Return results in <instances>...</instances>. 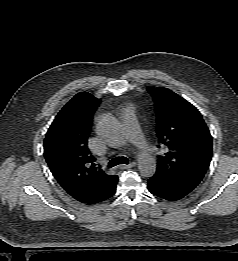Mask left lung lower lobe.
Here are the masks:
<instances>
[{"label": "left lung lower lobe", "instance_id": "1", "mask_svg": "<svg viewBox=\"0 0 238 261\" xmlns=\"http://www.w3.org/2000/svg\"><path fill=\"white\" fill-rule=\"evenodd\" d=\"M148 190L153 195L169 201L180 200L188 194L172 182L155 174L148 180Z\"/></svg>", "mask_w": 238, "mask_h": 261}]
</instances>
